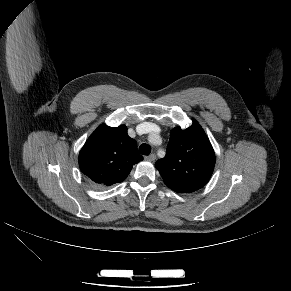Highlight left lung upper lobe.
<instances>
[{
    "mask_svg": "<svg viewBox=\"0 0 291 291\" xmlns=\"http://www.w3.org/2000/svg\"><path fill=\"white\" fill-rule=\"evenodd\" d=\"M166 185L180 186L194 192L210 179L215 154L204 130L196 120L187 129L171 131L166 156L156 164Z\"/></svg>",
    "mask_w": 291,
    "mask_h": 291,
    "instance_id": "left-lung-upper-lobe-1",
    "label": "left lung upper lobe"
}]
</instances>
